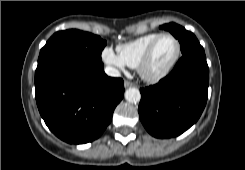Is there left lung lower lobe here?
I'll list each match as a JSON object with an SVG mask.
<instances>
[{"label": "left lung lower lobe", "mask_w": 245, "mask_h": 170, "mask_svg": "<svg viewBox=\"0 0 245 170\" xmlns=\"http://www.w3.org/2000/svg\"><path fill=\"white\" fill-rule=\"evenodd\" d=\"M208 85L206 58L183 55L167 77L140 89L138 112L146 130L156 138L185 132L205 108Z\"/></svg>", "instance_id": "obj_1"}]
</instances>
